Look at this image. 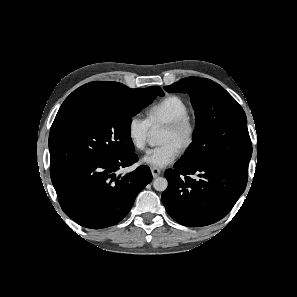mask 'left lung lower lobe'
<instances>
[{
  "instance_id": "0a47b994",
  "label": "left lung lower lobe",
  "mask_w": 297,
  "mask_h": 297,
  "mask_svg": "<svg viewBox=\"0 0 297 297\" xmlns=\"http://www.w3.org/2000/svg\"><path fill=\"white\" fill-rule=\"evenodd\" d=\"M165 177L168 188L162 202L168 214L182 225L200 227L230 212L246 188L248 174L219 164L177 162L173 169L165 171Z\"/></svg>"
}]
</instances>
